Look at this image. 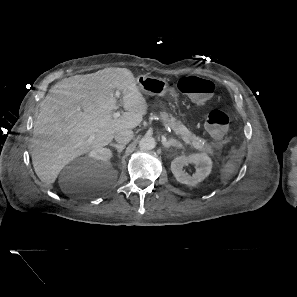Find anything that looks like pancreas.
<instances>
[{
  "instance_id": "cf45deb5",
  "label": "pancreas",
  "mask_w": 297,
  "mask_h": 297,
  "mask_svg": "<svg viewBox=\"0 0 297 297\" xmlns=\"http://www.w3.org/2000/svg\"><path fill=\"white\" fill-rule=\"evenodd\" d=\"M160 118L177 135H180L186 138L189 141V144H191L195 149L210 155L214 154L213 144H210L205 139L192 134V132L189 131L186 126H184L180 121H178L172 115H169L166 112H161Z\"/></svg>"
}]
</instances>
